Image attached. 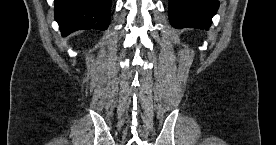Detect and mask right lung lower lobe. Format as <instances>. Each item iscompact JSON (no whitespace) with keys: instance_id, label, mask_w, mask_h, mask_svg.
<instances>
[{"instance_id":"98d812e1","label":"right lung lower lobe","mask_w":276,"mask_h":145,"mask_svg":"<svg viewBox=\"0 0 276 145\" xmlns=\"http://www.w3.org/2000/svg\"><path fill=\"white\" fill-rule=\"evenodd\" d=\"M111 0H55V20L62 36L77 30H106Z\"/></svg>"}]
</instances>
